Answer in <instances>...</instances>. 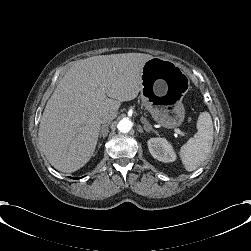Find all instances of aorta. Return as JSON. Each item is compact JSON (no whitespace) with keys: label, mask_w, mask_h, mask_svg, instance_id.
Wrapping results in <instances>:
<instances>
[{"label":"aorta","mask_w":251,"mask_h":251,"mask_svg":"<svg viewBox=\"0 0 251 251\" xmlns=\"http://www.w3.org/2000/svg\"><path fill=\"white\" fill-rule=\"evenodd\" d=\"M132 122L129 119H122L118 125L117 128L120 132L127 133L132 128Z\"/></svg>","instance_id":"762f6f07"}]
</instances>
